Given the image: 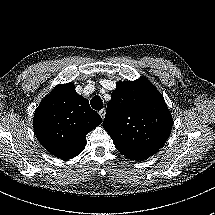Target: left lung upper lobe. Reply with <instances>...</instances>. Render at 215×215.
Wrapping results in <instances>:
<instances>
[{
	"label": "left lung upper lobe",
	"mask_w": 215,
	"mask_h": 215,
	"mask_svg": "<svg viewBox=\"0 0 215 215\" xmlns=\"http://www.w3.org/2000/svg\"><path fill=\"white\" fill-rule=\"evenodd\" d=\"M164 98L145 77L116 84L107 104L104 129L120 153L146 159L163 146L172 128Z\"/></svg>",
	"instance_id": "5c2ea615"
}]
</instances>
